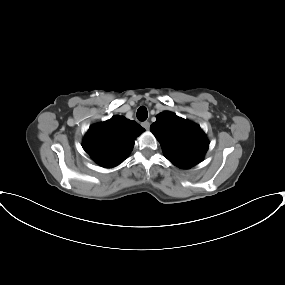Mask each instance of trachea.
<instances>
[{"mask_svg":"<svg viewBox=\"0 0 285 285\" xmlns=\"http://www.w3.org/2000/svg\"><path fill=\"white\" fill-rule=\"evenodd\" d=\"M147 117H148V112H147L146 107L144 106L139 107V109L137 110V118L140 121H145Z\"/></svg>","mask_w":285,"mask_h":285,"instance_id":"1","label":"trachea"}]
</instances>
